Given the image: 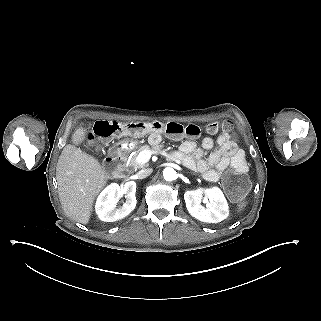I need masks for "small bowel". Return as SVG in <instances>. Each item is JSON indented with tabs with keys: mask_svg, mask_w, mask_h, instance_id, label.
Returning a JSON list of instances; mask_svg holds the SVG:
<instances>
[{
	"mask_svg": "<svg viewBox=\"0 0 321 321\" xmlns=\"http://www.w3.org/2000/svg\"><path fill=\"white\" fill-rule=\"evenodd\" d=\"M151 140L157 142L158 135L152 134ZM214 145L217 149L204 158V151L212 149ZM174 157L181 160L189 169L201 173L210 182L218 181L221 173L228 167L239 171L247 169L243 151L226 132L218 135L215 140L211 137L203 138L200 147L192 140H185Z\"/></svg>",
	"mask_w": 321,
	"mask_h": 321,
	"instance_id": "obj_1",
	"label": "small bowel"
}]
</instances>
